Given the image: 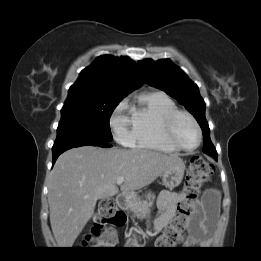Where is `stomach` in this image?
Listing matches in <instances>:
<instances>
[{"instance_id":"0dacf381","label":"stomach","mask_w":261,"mask_h":261,"mask_svg":"<svg viewBox=\"0 0 261 261\" xmlns=\"http://www.w3.org/2000/svg\"><path fill=\"white\" fill-rule=\"evenodd\" d=\"M185 164L182 159H178L171 168L162 174L163 185L166 188L173 189L177 187L184 176Z\"/></svg>"}]
</instances>
